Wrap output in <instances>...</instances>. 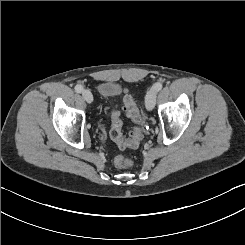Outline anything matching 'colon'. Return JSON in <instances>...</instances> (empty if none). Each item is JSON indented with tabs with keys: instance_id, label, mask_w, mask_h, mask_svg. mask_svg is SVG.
I'll list each match as a JSON object with an SVG mask.
<instances>
[{
	"instance_id": "obj_1",
	"label": "colon",
	"mask_w": 245,
	"mask_h": 245,
	"mask_svg": "<svg viewBox=\"0 0 245 245\" xmlns=\"http://www.w3.org/2000/svg\"><path fill=\"white\" fill-rule=\"evenodd\" d=\"M123 110L134 124L133 130L129 137L123 136L121 131L122 122L118 114L114 113L112 116L110 136L121 149L135 148L138 146L141 139V113L137 102L129 94H126L123 98ZM114 163L118 168H127L132 165V162L123 155H118Z\"/></svg>"
}]
</instances>
